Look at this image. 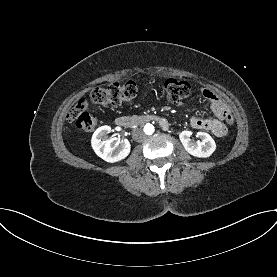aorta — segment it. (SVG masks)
Here are the masks:
<instances>
[{
    "label": "aorta",
    "mask_w": 277,
    "mask_h": 277,
    "mask_svg": "<svg viewBox=\"0 0 277 277\" xmlns=\"http://www.w3.org/2000/svg\"><path fill=\"white\" fill-rule=\"evenodd\" d=\"M144 133L147 134V135H151L154 133V126L152 124H146L144 126Z\"/></svg>",
    "instance_id": "1"
}]
</instances>
